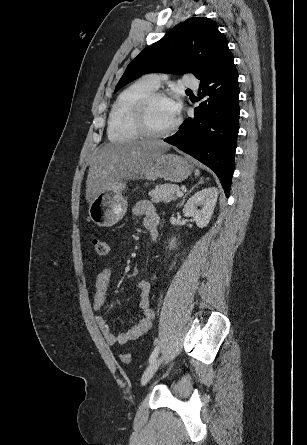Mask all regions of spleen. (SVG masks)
<instances>
[{
  "label": "spleen",
  "mask_w": 307,
  "mask_h": 445,
  "mask_svg": "<svg viewBox=\"0 0 307 445\" xmlns=\"http://www.w3.org/2000/svg\"><path fill=\"white\" fill-rule=\"evenodd\" d=\"M194 172H195V176H199V174H200L199 168H195Z\"/></svg>",
  "instance_id": "obj_1"
}]
</instances>
